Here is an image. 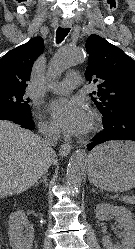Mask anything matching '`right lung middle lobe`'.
Returning <instances> with one entry per match:
<instances>
[{
    "label": "right lung middle lobe",
    "mask_w": 135,
    "mask_h": 249,
    "mask_svg": "<svg viewBox=\"0 0 135 249\" xmlns=\"http://www.w3.org/2000/svg\"><path fill=\"white\" fill-rule=\"evenodd\" d=\"M24 94L25 91H0V104L13 105L26 112H31L29 99Z\"/></svg>",
    "instance_id": "dd1d6c3e"
}]
</instances>
